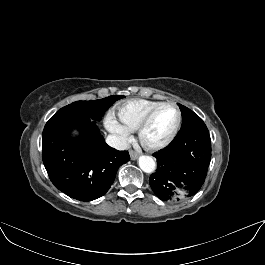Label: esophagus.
<instances>
[{"instance_id":"esophagus-1","label":"esophagus","mask_w":265,"mask_h":265,"mask_svg":"<svg viewBox=\"0 0 265 265\" xmlns=\"http://www.w3.org/2000/svg\"><path fill=\"white\" fill-rule=\"evenodd\" d=\"M138 156H139V154L137 152H135L133 150L130 151V157H131L132 160L137 159Z\"/></svg>"}]
</instances>
